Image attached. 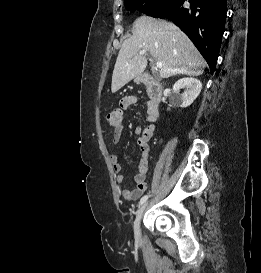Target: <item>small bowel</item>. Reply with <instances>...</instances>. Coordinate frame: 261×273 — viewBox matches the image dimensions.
<instances>
[{"instance_id": "1", "label": "small bowel", "mask_w": 261, "mask_h": 273, "mask_svg": "<svg viewBox=\"0 0 261 273\" xmlns=\"http://www.w3.org/2000/svg\"><path fill=\"white\" fill-rule=\"evenodd\" d=\"M137 101L136 97L128 96L123 98L120 101V108L127 109ZM158 111L157 109L151 108V102L147 103V112L146 119L150 123L146 128L136 127L135 134L137 136V145L140 150V160L138 163V170L134 176V181L136 183V187L132 190H128L124 188V176H123V167L120 163L119 156L117 154L111 155V163L113 167V171L116 174V181L121 189L122 196L127 201H136L138 200L142 194L147 190L146 177L149 169V153L150 146L149 141L153 137L155 132V126L153 122L157 118ZM125 127L121 124L119 126H115L112 134V142L116 145L120 142Z\"/></svg>"}]
</instances>
